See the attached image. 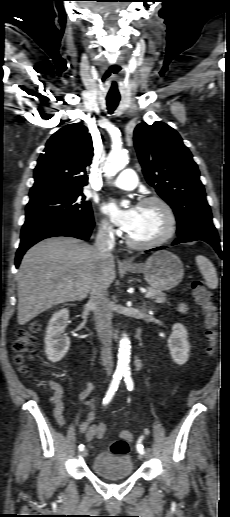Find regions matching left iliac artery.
<instances>
[{
  "label": "left iliac artery",
  "instance_id": "obj_1",
  "mask_svg": "<svg viewBox=\"0 0 230 517\" xmlns=\"http://www.w3.org/2000/svg\"><path fill=\"white\" fill-rule=\"evenodd\" d=\"M123 376H124V381L126 383V386H127V389L129 391H132L133 390V387H134V383H133V380L131 378V372L129 370H125L123 372ZM142 438L141 437L138 442H137V451L140 453V454H144V448H143V445L141 444V441H142Z\"/></svg>",
  "mask_w": 230,
  "mask_h": 517
}]
</instances>
